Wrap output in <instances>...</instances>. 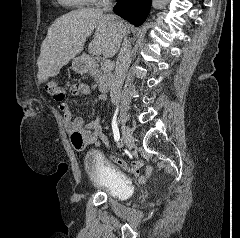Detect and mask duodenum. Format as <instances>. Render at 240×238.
<instances>
[{
    "label": "duodenum",
    "mask_w": 240,
    "mask_h": 238,
    "mask_svg": "<svg viewBox=\"0 0 240 238\" xmlns=\"http://www.w3.org/2000/svg\"><path fill=\"white\" fill-rule=\"evenodd\" d=\"M92 70V67H90ZM112 83V75L110 73H104L100 75V90L102 92H107Z\"/></svg>",
    "instance_id": "1"
}]
</instances>
